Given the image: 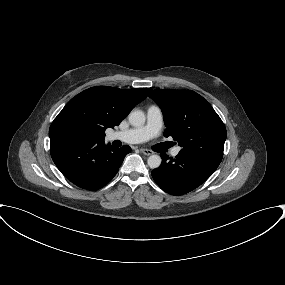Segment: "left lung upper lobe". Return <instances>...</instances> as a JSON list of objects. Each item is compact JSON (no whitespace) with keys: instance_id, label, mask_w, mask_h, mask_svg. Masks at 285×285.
<instances>
[{"instance_id":"5c2ea615","label":"left lung upper lobe","mask_w":285,"mask_h":285,"mask_svg":"<svg viewBox=\"0 0 285 285\" xmlns=\"http://www.w3.org/2000/svg\"><path fill=\"white\" fill-rule=\"evenodd\" d=\"M149 96L163 112L164 136H172L181 152L221 162L227 132L207 100L190 90L155 89Z\"/></svg>"}]
</instances>
